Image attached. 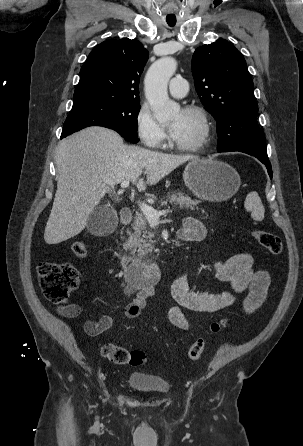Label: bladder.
Masks as SVG:
<instances>
[{
    "label": "bladder",
    "instance_id": "obj_1",
    "mask_svg": "<svg viewBox=\"0 0 303 446\" xmlns=\"http://www.w3.org/2000/svg\"><path fill=\"white\" fill-rule=\"evenodd\" d=\"M127 385L137 391L164 393L169 390V381L161 376L146 372H133L127 379Z\"/></svg>",
    "mask_w": 303,
    "mask_h": 446
}]
</instances>
